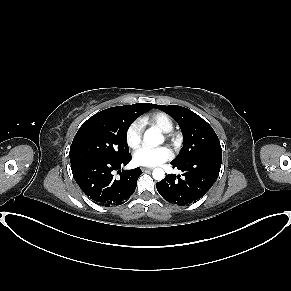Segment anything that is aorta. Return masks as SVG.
I'll list each match as a JSON object with an SVG mask.
<instances>
[{
  "label": "aorta",
  "mask_w": 291,
  "mask_h": 291,
  "mask_svg": "<svg viewBox=\"0 0 291 291\" xmlns=\"http://www.w3.org/2000/svg\"><path fill=\"white\" fill-rule=\"evenodd\" d=\"M144 142L150 146H159L164 142V138L157 130L150 128L144 134ZM152 175L155 180L161 181L165 177V172L161 168H155Z\"/></svg>",
  "instance_id": "aorta-1"
}]
</instances>
